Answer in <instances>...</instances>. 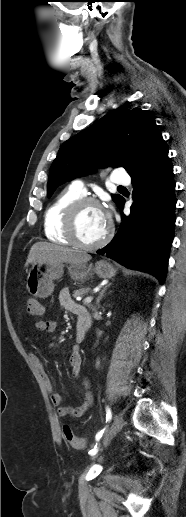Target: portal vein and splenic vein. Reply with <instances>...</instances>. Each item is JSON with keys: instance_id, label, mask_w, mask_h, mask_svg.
Wrapping results in <instances>:
<instances>
[{"instance_id": "18ae733b", "label": "portal vein and splenic vein", "mask_w": 186, "mask_h": 517, "mask_svg": "<svg viewBox=\"0 0 186 517\" xmlns=\"http://www.w3.org/2000/svg\"><path fill=\"white\" fill-rule=\"evenodd\" d=\"M92 299H93V297L88 296V297H86V298L83 300V303H84V304H89V303H91Z\"/></svg>"}]
</instances>
